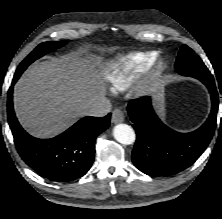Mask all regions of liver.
Listing matches in <instances>:
<instances>
[{
    "label": "liver",
    "mask_w": 222,
    "mask_h": 219,
    "mask_svg": "<svg viewBox=\"0 0 222 219\" xmlns=\"http://www.w3.org/2000/svg\"><path fill=\"white\" fill-rule=\"evenodd\" d=\"M100 58L65 57L36 63L16 83L14 109L30 134L58 135L105 99V84L95 67Z\"/></svg>",
    "instance_id": "obj_1"
}]
</instances>
